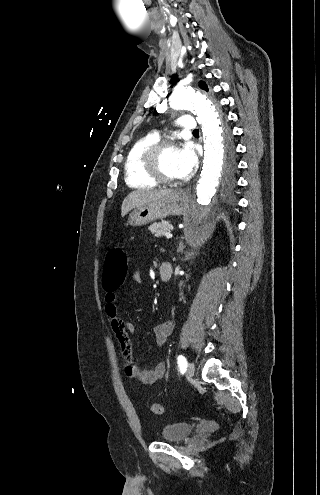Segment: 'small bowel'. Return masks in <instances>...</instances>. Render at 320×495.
I'll return each instance as SVG.
<instances>
[{
	"instance_id": "small-bowel-1",
	"label": "small bowel",
	"mask_w": 320,
	"mask_h": 495,
	"mask_svg": "<svg viewBox=\"0 0 320 495\" xmlns=\"http://www.w3.org/2000/svg\"><path fill=\"white\" fill-rule=\"evenodd\" d=\"M136 282L140 281V274L136 271L133 273ZM121 286V285H120ZM119 286V287H120ZM117 287L113 290H106L105 294V313L116 338L120 344L124 356V370L128 377L138 380L145 385H151L160 380L166 371L164 363H158L152 369H141L134 361L131 337L136 333V327L132 322L123 321L119 317L116 305ZM175 328V320L170 319L156 325L153 329L155 342L158 346H164L168 337Z\"/></svg>"
}]
</instances>
